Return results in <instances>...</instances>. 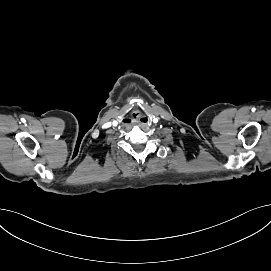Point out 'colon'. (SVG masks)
<instances>
[{"label":"colon","instance_id":"obj_1","mask_svg":"<svg viewBox=\"0 0 271 271\" xmlns=\"http://www.w3.org/2000/svg\"><path fill=\"white\" fill-rule=\"evenodd\" d=\"M78 155H79L78 148L73 149L72 154L69 159L70 163L74 162L77 159Z\"/></svg>","mask_w":271,"mask_h":271}]
</instances>
